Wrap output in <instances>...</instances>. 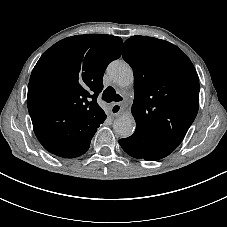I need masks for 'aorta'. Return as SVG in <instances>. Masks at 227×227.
<instances>
[{
    "label": "aorta",
    "instance_id": "762f6f07",
    "mask_svg": "<svg viewBox=\"0 0 227 227\" xmlns=\"http://www.w3.org/2000/svg\"><path fill=\"white\" fill-rule=\"evenodd\" d=\"M111 80L120 87H127L133 83L132 68L125 61L115 60L107 68ZM135 120L131 114L119 116L113 124L114 131L122 138L131 136L135 129Z\"/></svg>",
    "mask_w": 227,
    "mask_h": 227
}]
</instances>
